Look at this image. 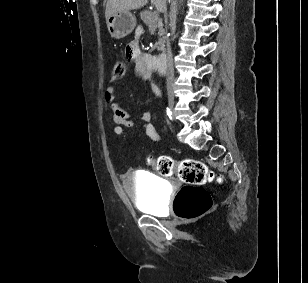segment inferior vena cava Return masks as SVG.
<instances>
[{
    "label": "inferior vena cava",
    "mask_w": 308,
    "mask_h": 283,
    "mask_svg": "<svg viewBox=\"0 0 308 283\" xmlns=\"http://www.w3.org/2000/svg\"><path fill=\"white\" fill-rule=\"evenodd\" d=\"M164 11H166V7L164 8ZM172 41V40H171ZM167 87H170L174 81V69H173V60H172V53L171 49H168L167 54Z\"/></svg>",
    "instance_id": "obj_1"
}]
</instances>
